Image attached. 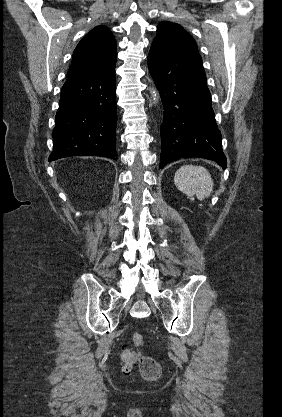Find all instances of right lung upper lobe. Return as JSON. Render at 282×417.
<instances>
[{"label": "right lung upper lobe", "instance_id": "cb5924a9", "mask_svg": "<svg viewBox=\"0 0 282 417\" xmlns=\"http://www.w3.org/2000/svg\"><path fill=\"white\" fill-rule=\"evenodd\" d=\"M116 40L105 26L95 27L77 45L67 78L86 74L103 66L116 63Z\"/></svg>", "mask_w": 282, "mask_h": 417}]
</instances>
